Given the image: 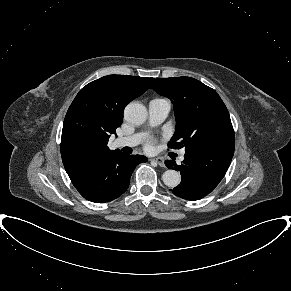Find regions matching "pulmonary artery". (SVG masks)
Returning <instances> with one entry per match:
<instances>
[{"mask_svg":"<svg viewBox=\"0 0 291 291\" xmlns=\"http://www.w3.org/2000/svg\"><path fill=\"white\" fill-rule=\"evenodd\" d=\"M171 109L170 102L165 98H154L149 102V122L152 126L162 123L169 114ZM144 133H136L133 135L119 137L114 141L115 147H134L142 142ZM185 151H181L180 158H184Z\"/></svg>","mask_w":291,"mask_h":291,"instance_id":"pulmonary-artery-1","label":"pulmonary artery"}]
</instances>
